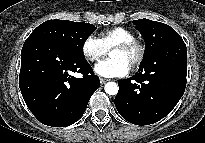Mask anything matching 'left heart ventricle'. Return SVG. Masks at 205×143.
Here are the masks:
<instances>
[{
    "mask_svg": "<svg viewBox=\"0 0 205 143\" xmlns=\"http://www.w3.org/2000/svg\"><path fill=\"white\" fill-rule=\"evenodd\" d=\"M110 57L114 59H120L130 66L136 57V52L135 50L123 51L114 49L110 52Z\"/></svg>",
    "mask_w": 205,
    "mask_h": 143,
    "instance_id": "left-heart-ventricle-1",
    "label": "left heart ventricle"
}]
</instances>
